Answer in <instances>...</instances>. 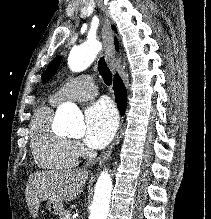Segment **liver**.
Here are the masks:
<instances>
[{
    "label": "liver",
    "mask_w": 211,
    "mask_h": 219,
    "mask_svg": "<svg viewBox=\"0 0 211 219\" xmlns=\"http://www.w3.org/2000/svg\"><path fill=\"white\" fill-rule=\"evenodd\" d=\"M87 178L88 171L80 168L31 174L26 187V202L33 218L37 217L44 200L63 203L76 199Z\"/></svg>",
    "instance_id": "1"
}]
</instances>
